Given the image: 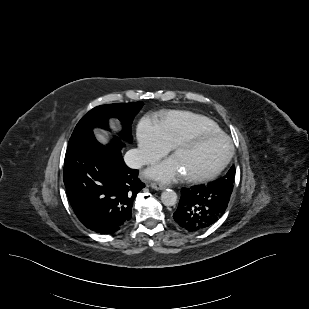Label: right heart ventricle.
<instances>
[{
    "mask_svg": "<svg viewBox=\"0 0 309 309\" xmlns=\"http://www.w3.org/2000/svg\"><path fill=\"white\" fill-rule=\"evenodd\" d=\"M156 124L171 145H174L194 131L221 132L220 127L208 117L184 110L172 111L161 115Z\"/></svg>",
    "mask_w": 309,
    "mask_h": 309,
    "instance_id": "1",
    "label": "right heart ventricle"
}]
</instances>
